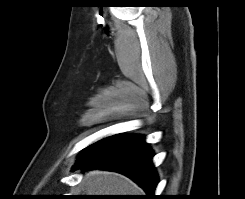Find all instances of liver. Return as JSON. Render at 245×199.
I'll return each mask as SVG.
<instances>
[{"label": "liver", "mask_w": 245, "mask_h": 199, "mask_svg": "<svg viewBox=\"0 0 245 199\" xmlns=\"http://www.w3.org/2000/svg\"><path fill=\"white\" fill-rule=\"evenodd\" d=\"M87 195H141L142 190L130 179L108 171L92 170L84 175Z\"/></svg>", "instance_id": "obj_1"}]
</instances>
